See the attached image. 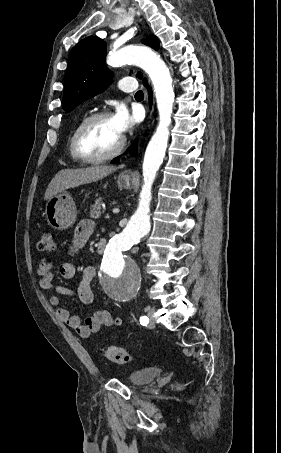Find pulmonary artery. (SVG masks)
<instances>
[{"instance_id": "e3ab8cb5", "label": "pulmonary artery", "mask_w": 281, "mask_h": 453, "mask_svg": "<svg viewBox=\"0 0 281 453\" xmlns=\"http://www.w3.org/2000/svg\"><path fill=\"white\" fill-rule=\"evenodd\" d=\"M133 78L132 77H125V78H122L121 80H119L118 82V86L121 90L123 91H130V89L125 85V81L127 80H132Z\"/></svg>"}]
</instances>
